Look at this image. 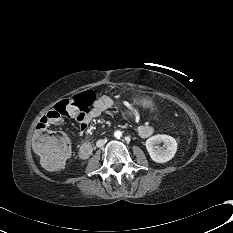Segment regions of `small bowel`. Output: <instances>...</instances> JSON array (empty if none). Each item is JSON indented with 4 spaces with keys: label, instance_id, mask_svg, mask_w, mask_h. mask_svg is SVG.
<instances>
[{
    "label": "small bowel",
    "instance_id": "c3829d8e",
    "mask_svg": "<svg viewBox=\"0 0 233 233\" xmlns=\"http://www.w3.org/2000/svg\"><path fill=\"white\" fill-rule=\"evenodd\" d=\"M119 98L120 91L117 88H110L107 91V96L99 97L88 111L81 112L69 107L64 110V113H61L59 106H56L40 119L38 125L46 128L50 125H57L61 123L62 116H67L74 118L78 122L79 133L83 134L87 130L89 123L105 111L114 107ZM137 132L140 137L148 138L155 132V127L147 124L141 125Z\"/></svg>",
    "mask_w": 233,
    "mask_h": 233
}]
</instances>
